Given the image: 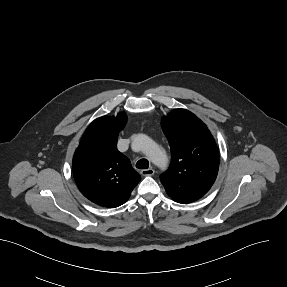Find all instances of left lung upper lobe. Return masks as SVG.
Listing matches in <instances>:
<instances>
[{"mask_svg":"<svg viewBox=\"0 0 287 287\" xmlns=\"http://www.w3.org/2000/svg\"><path fill=\"white\" fill-rule=\"evenodd\" d=\"M171 149L169 169L160 181L174 201L191 203L212 187L219 168L216 143L206 125L193 113L176 109L162 120Z\"/></svg>","mask_w":287,"mask_h":287,"instance_id":"left-lung-upper-lobe-1","label":"left lung upper lobe"}]
</instances>
